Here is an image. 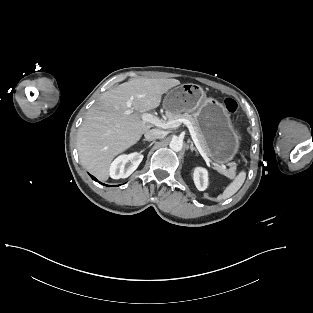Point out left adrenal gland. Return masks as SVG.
Returning a JSON list of instances; mask_svg holds the SVG:
<instances>
[{
    "mask_svg": "<svg viewBox=\"0 0 313 313\" xmlns=\"http://www.w3.org/2000/svg\"><path fill=\"white\" fill-rule=\"evenodd\" d=\"M190 150L191 151H195L196 153H198L197 149L194 147L193 143L191 142L190 144Z\"/></svg>",
    "mask_w": 313,
    "mask_h": 313,
    "instance_id": "obj_1",
    "label": "left adrenal gland"
}]
</instances>
